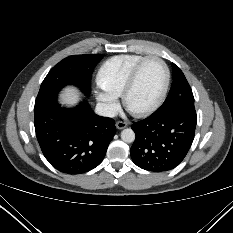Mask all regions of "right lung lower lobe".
<instances>
[{
	"label": "right lung lower lobe",
	"instance_id": "right-lung-lower-lobe-1",
	"mask_svg": "<svg viewBox=\"0 0 233 233\" xmlns=\"http://www.w3.org/2000/svg\"><path fill=\"white\" fill-rule=\"evenodd\" d=\"M36 137L45 158L57 170L81 174L97 167L116 128L111 118L96 115L86 102L65 109L50 95L34 106Z\"/></svg>",
	"mask_w": 233,
	"mask_h": 233
}]
</instances>
